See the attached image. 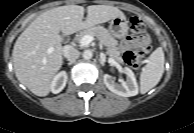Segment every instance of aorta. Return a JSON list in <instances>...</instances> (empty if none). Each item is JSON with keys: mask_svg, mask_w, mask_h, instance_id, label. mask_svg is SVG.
I'll return each mask as SVG.
<instances>
[{"mask_svg": "<svg viewBox=\"0 0 194 133\" xmlns=\"http://www.w3.org/2000/svg\"><path fill=\"white\" fill-rule=\"evenodd\" d=\"M82 56H83V58H84L85 60H89V59L92 58L93 53H92L91 50L88 49V50H85V51L83 52Z\"/></svg>", "mask_w": 194, "mask_h": 133, "instance_id": "762f6f07", "label": "aorta"}]
</instances>
